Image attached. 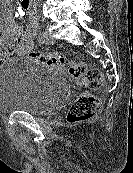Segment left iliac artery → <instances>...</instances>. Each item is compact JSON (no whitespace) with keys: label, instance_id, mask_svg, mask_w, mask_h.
<instances>
[{"label":"left iliac artery","instance_id":"obj_1","mask_svg":"<svg viewBox=\"0 0 133 173\" xmlns=\"http://www.w3.org/2000/svg\"><path fill=\"white\" fill-rule=\"evenodd\" d=\"M38 41L40 43H44L45 42L44 34L42 32H40L39 35H38Z\"/></svg>","mask_w":133,"mask_h":173}]
</instances>
